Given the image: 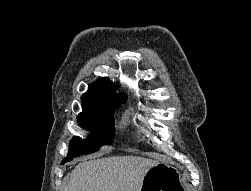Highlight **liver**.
<instances>
[{
	"label": "liver",
	"instance_id": "obj_1",
	"mask_svg": "<svg viewBox=\"0 0 251 191\" xmlns=\"http://www.w3.org/2000/svg\"><path fill=\"white\" fill-rule=\"evenodd\" d=\"M96 157L72 169L67 191H141L145 173L158 163L139 155Z\"/></svg>",
	"mask_w": 251,
	"mask_h": 191
}]
</instances>
